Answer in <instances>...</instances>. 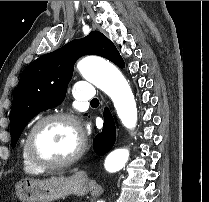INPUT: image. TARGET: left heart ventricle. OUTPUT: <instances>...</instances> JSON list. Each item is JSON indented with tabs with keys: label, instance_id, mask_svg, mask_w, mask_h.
<instances>
[{
	"label": "left heart ventricle",
	"instance_id": "1",
	"mask_svg": "<svg viewBox=\"0 0 209 202\" xmlns=\"http://www.w3.org/2000/svg\"><path fill=\"white\" fill-rule=\"evenodd\" d=\"M79 143V133L64 121L43 124L34 134V155L45 162H58L71 156Z\"/></svg>",
	"mask_w": 209,
	"mask_h": 202
}]
</instances>
